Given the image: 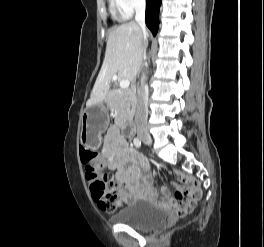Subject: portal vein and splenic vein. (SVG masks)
Segmentation results:
<instances>
[{"label":"portal vein and splenic vein","instance_id":"18ae733b","mask_svg":"<svg viewBox=\"0 0 264 247\" xmlns=\"http://www.w3.org/2000/svg\"><path fill=\"white\" fill-rule=\"evenodd\" d=\"M113 79H116V76H114ZM129 85H130V81L127 79L120 81V88L121 89H126L129 87Z\"/></svg>","mask_w":264,"mask_h":247}]
</instances>
